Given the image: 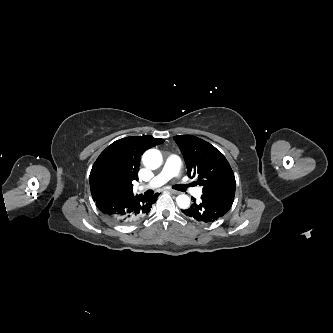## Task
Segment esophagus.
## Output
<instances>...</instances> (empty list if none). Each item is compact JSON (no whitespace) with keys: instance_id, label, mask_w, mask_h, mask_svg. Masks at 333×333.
Returning a JSON list of instances; mask_svg holds the SVG:
<instances>
[{"instance_id":"34e87169","label":"esophagus","mask_w":333,"mask_h":333,"mask_svg":"<svg viewBox=\"0 0 333 333\" xmlns=\"http://www.w3.org/2000/svg\"><path fill=\"white\" fill-rule=\"evenodd\" d=\"M168 192L171 193V194H175V195H178L180 193V192H178L176 190H173V189H169Z\"/></svg>"}]
</instances>
